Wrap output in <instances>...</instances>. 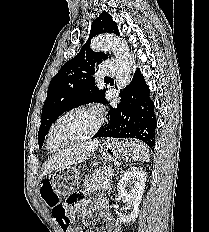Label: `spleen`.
Instances as JSON below:
<instances>
[{
	"label": "spleen",
	"instance_id": "3e777b00",
	"mask_svg": "<svg viewBox=\"0 0 209 232\" xmlns=\"http://www.w3.org/2000/svg\"><path fill=\"white\" fill-rule=\"evenodd\" d=\"M132 157L135 161L139 160L149 162L150 156L148 152V147L144 143L137 141L135 152L133 153Z\"/></svg>",
	"mask_w": 209,
	"mask_h": 232
}]
</instances>
